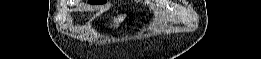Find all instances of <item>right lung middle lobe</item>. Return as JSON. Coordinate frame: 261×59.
Masks as SVG:
<instances>
[{"instance_id":"1","label":"right lung middle lobe","mask_w":261,"mask_h":59,"mask_svg":"<svg viewBox=\"0 0 261 59\" xmlns=\"http://www.w3.org/2000/svg\"><path fill=\"white\" fill-rule=\"evenodd\" d=\"M89 3H91V4H102V3H105V2H91V1H89Z\"/></svg>"}]
</instances>
